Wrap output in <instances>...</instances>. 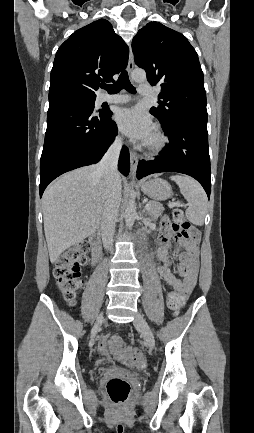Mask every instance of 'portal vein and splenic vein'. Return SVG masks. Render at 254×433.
I'll return each mask as SVG.
<instances>
[{"label": "portal vein and splenic vein", "mask_w": 254, "mask_h": 433, "mask_svg": "<svg viewBox=\"0 0 254 433\" xmlns=\"http://www.w3.org/2000/svg\"><path fill=\"white\" fill-rule=\"evenodd\" d=\"M178 205H179L178 202H174V203H172L170 206H178ZM150 206H151V205H150L149 203H147L145 207H146V209H149Z\"/></svg>", "instance_id": "1"}]
</instances>
